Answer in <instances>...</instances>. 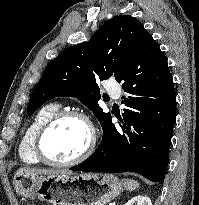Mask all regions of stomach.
<instances>
[{
	"instance_id": "1",
	"label": "stomach",
	"mask_w": 199,
	"mask_h": 205,
	"mask_svg": "<svg viewBox=\"0 0 199 205\" xmlns=\"http://www.w3.org/2000/svg\"><path fill=\"white\" fill-rule=\"evenodd\" d=\"M13 184L20 195L52 205H105L122 191L117 177L102 173L43 176L17 171Z\"/></svg>"
}]
</instances>
